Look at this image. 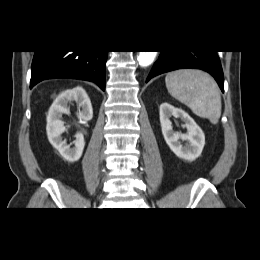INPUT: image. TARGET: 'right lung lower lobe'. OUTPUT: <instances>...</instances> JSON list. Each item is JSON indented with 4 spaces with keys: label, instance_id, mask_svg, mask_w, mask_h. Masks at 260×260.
<instances>
[{
    "label": "right lung lower lobe",
    "instance_id": "right-lung-lower-lobe-1",
    "mask_svg": "<svg viewBox=\"0 0 260 260\" xmlns=\"http://www.w3.org/2000/svg\"><path fill=\"white\" fill-rule=\"evenodd\" d=\"M108 51H35L30 88L42 80L73 78L92 81L105 90Z\"/></svg>",
    "mask_w": 260,
    "mask_h": 260
}]
</instances>
